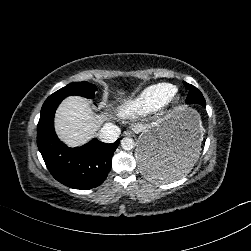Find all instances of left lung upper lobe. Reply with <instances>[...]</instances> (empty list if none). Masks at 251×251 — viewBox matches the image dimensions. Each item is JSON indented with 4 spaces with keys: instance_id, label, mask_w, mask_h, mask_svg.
Wrapping results in <instances>:
<instances>
[{
    "instance_id": "1",
    "label": "left lung upper lobe",
    "mask_w": 251,
    "mask_h": 251,
    "mask_svg": "<svg viewBox=\"0 0 251 251\" xmlns=\"http://www.w3.org/2000/svg\"><path fill=\"white\" fill-rule=\"evenodd\" d=\"M185 87L189 90L186 103L188 104H200L204 107H206L205 99L202 95V93L193 85H190L186 82H184Z\"/></svg>"
}]
</instances>
